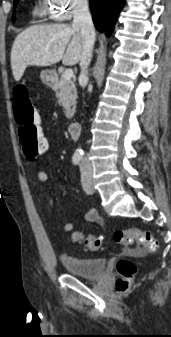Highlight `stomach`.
Returning a JSON list of instances; mask_svg holds the SVG:
<instances>
[{
    "instance_id": "obj_1",
    "label": "stomach",
    "mask_w": 171,
    "mask_h": 337,
    "mask_svg": "<svg viewBox=\"0 0 171 337\" xmlns=\"http://www.w3.org/2000/svg\"><path fill=\"white\" fill-rule=\"evenodd\" d=\"M40 77L43 83L51 84L56 80V73L54 70H43Z\"/></svg>"
}]
</instances>
